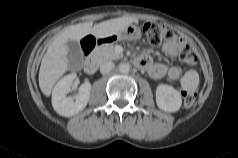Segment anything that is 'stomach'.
Returning <instances> with one entry per match:
<instances>
[{
    "label": "stomach",
    "instance_id": "0dacf381",
    "mask_svg": "<svg viewBox=\"0 0 238 158\" xmlns=\"http://www.w3.org/2000/svg\"><path fill=\"white\" fill-rule=\"evenodd\" d=\"M141 38V30L136 25H128L118 33L108 37L109 41L137 40Z\"/></svg>",
    "mask_w": 238,
    "mask_h": 158
}]
</instances>
